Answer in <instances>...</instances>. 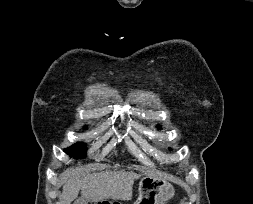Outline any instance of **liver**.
<instances>
[{
    "label": "liver",
    "instance_id": "1",
    "mask_svg": "<svg viewBox=\"0 0 253 204\" xmlns=\"http://www.w3.org/2000/svg\"><path fill=\"white\" fill-rule=\"evenodd\" d=\"M137 177V174L123 171H103L85 175L76 170H68L62 175L63 192L60 204H70L76 200L79 191L81 197L74 204H88L107 198H128Z\"/></svg>",
    "mask_w": 253,
    "mask_h": 204
}]
</instances>
